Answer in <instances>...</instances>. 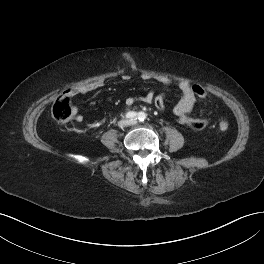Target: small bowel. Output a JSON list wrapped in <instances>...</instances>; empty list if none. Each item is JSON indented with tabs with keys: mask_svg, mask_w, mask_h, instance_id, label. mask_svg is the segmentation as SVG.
I'll return each mask as SVG.
<instances>
[{
	"mask_svg": "<svg viewBox=\"0 0 264 264\" xmlns=\"http://www.w3.org/2000/svg\"><path fill=\"white\" fill-rule=\"evenodd\" d=\"M124 80H128L129 76H123ZM143 80H148V76H143ZM158 82L161 84L168 86L170 84V80L166 77H161L157 79ZM104 86V82L101 80L93 81L90 83H86L79 86L71 87L67 94L69 96H75L79 94H85L94 90H97ZM178 88L182 94L181 99L177 103V105L174 107V113L177 116L179 122L181 124H186V117L191 113L193 110L195 103H196V97L194 93L192 92L191 86L189 83L185 81H181L178 83ZM136 101H142L148 104H153L158 110H163L165 107L164 103V94L159 93L155 94L153 91H148L145 95L140 97H129L126 99V104L128 106H131ZM76 121L78 123H81L83 121L82 115L76 116Z\"/></svg>",
	"mask_w": 264,
	"mask_h": 264,
	"instance_id": "small-bowel-1",
	"label": "small bowel"
}]
</instances>
